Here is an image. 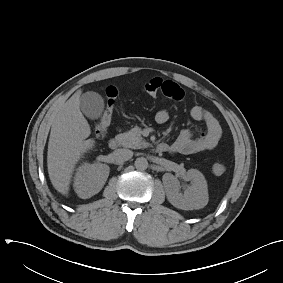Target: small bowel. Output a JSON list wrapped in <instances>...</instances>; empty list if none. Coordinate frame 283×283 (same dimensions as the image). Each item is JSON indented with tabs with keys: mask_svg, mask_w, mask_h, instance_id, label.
<instances>
[{
	"mask_svg": "<svg viewBox=\"0 0 283 283\" xmlns=\"http://www.w3.org/2000/svg\"><path fill=\"white\" fill-rule=\"evenodd\" d=\"M167 98L173 100H182L184 98V90L175 82L163 80L161 92ZM190 117L196 121H201L205 125V130L195 133L191 129L181 131L177 139L172 144H166V152L193 154L214 149L222 135L220 124L215 115L200 107L194 106L190 109ZM169 119V113L165 109L157 111L155 120L158 124H164Z\"/></svg>",
	"mask_w": 283,
	"mask_h": 283,
	"instance_id": "obj_1",
	"label": "small bowel"
}]
</instances>
